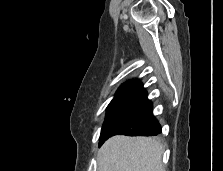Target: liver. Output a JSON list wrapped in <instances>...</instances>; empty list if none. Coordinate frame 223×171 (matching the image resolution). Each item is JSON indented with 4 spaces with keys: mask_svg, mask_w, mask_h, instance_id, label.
<instances>
[{
    "mask_svg": "<svg viewBox=\"0 0 223 171\" xmlns=\"http://www.w3.org/2000/svg\"><path fill=\"white\" fill-rule=\"evenodd\" d=\"M163 152L154 138L114 136L98 151V171H165Z\"/></svg>",
    "mask_w": 223,
    "mask_h": 171,
    "instance_id": "6515ba94",
    "label": "liver"
}]
</instances>
